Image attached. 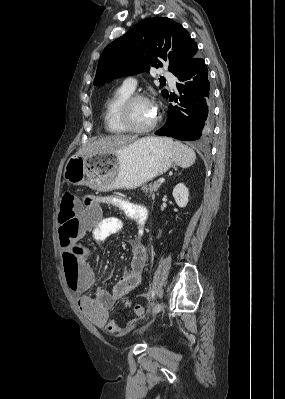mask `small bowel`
I'll use <instances>...</instances> for the list:
<instances>
[{
  "instance_id": "obj_1",
  "label": "small bowel",
  "mask_w": 285,
  "mask_h": 399,
  "mask_svg": "<svg viewBox=\"0 0 285 399\" xmlns=\"http://www.w3.org/2000/svg\"><path fill=\"white\" fill-rule=\"evenodd\" d=\"M102 205H113L121 209L124 215L134 222L137 233H144V224L148 217L145 206L126 198L100 197L95 204L87 206V209L93 210ZM70 223H77L79 233H87L96 241H102L112 235L118 234L123 228V222L117 217H102L93 226L89 227L84 219L79 215L78 209L75 210ZM77 233L73 235L69 230L62 226L59 228V240L62 249H68L77 240ZM131 261L130 269L125 272L113 286L111 291L104 287H98L94 296L87 294V291L94 285L96 278L90 265V252L84 251L82 256L78 283H71L70 286L76 295L79 311L91 320L99 328L106 329L113 335L120 334L123 328L114 320L109 319L108 309L118 300L123 298L128 292L133 290L139 284L143 269L147 260L146 247L139 236L132 237L130 240Z\"/></svg>"
}]
</instances>
